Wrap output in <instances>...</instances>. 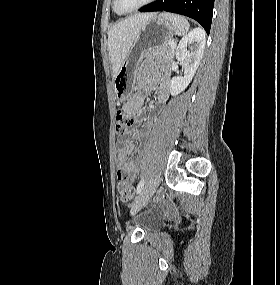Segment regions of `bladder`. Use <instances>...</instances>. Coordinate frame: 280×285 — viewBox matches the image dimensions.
Returning a JSON list of instances; mask_svg holds the SVG:
<instances>
[{
  "label": "bladder",
  "instance_id": "bladder-1",
  "mask_svg": "<svg viewBox=\"0 0 280 285\" xmlns=\"http://www.w3.org/2000/svg\"><path fill=\"white\" fill-rule=\"evenodd\" d=\"M160 221V217L154 213L147 212L137 217L136 222L144 229H150L155 227Z\"/></svg>",
  "mask_w": 280,
  "mask_h": 285
}]
</instances>
